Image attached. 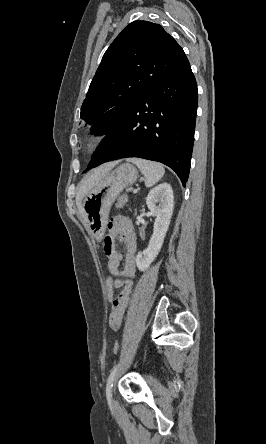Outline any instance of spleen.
Wrapping results in <instances>:
<instances>
[{"mask_svg":"<svg viewBox=\"0 0 266 444\" xmlns=\"http://www.w3.org/2000/svg\"><path fill=\"white\" fill-rule=\"evenodd\" d=\"M128 161L134 163L142 174L146 177V187L155 185L164 175L165 170L162 164L141 158H130Z\"/></svg>","mask_w":266,"mask_h":444,"instance_id":"1","label":"spleen"}]
</instances>
